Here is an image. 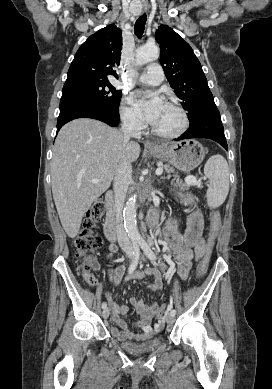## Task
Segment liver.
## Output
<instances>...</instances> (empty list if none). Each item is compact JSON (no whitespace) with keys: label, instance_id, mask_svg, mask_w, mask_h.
Returning a JSON list of instances; mask_svg holds the SVG:
<instances>
[{"label":"liver","instance_id":"obj_1","mask_svg":"<svg viewBox=\"0 0 272 389\" xmlns=\"http://www.w3.org/2000/svg\"><path fill=\"white\" fill-rule=\"evenodd\" d=\"M123 141L122 131L88 118L73 120L59 131L51 160L52 193L70 238L79 233L92 203L110 187L119 163L138 159L139 144L124 146Z\"/></svg>","mask_w":272,"mask_h":389}]
</instances>
